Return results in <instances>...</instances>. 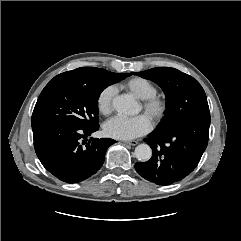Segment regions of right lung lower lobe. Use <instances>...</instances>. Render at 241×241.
I'll list each match as a JSON object with an SVG mask.
<instances>
[{
	"mask_svg": "<svg viewBox=\"0 0 241 241\" xmlns=\"http://www.w3.org/2000/svg\"><path fill=\"white\" fill-rule=\"evenodd\" d=\"M66 123H48L32 127L36 154L44 168L66 183L83 181L103 165L110 138H90L97 131ZM82 142V143H81Z\"/></svg>",
	"mask_w": 241,
	"mask_h": 241,
	"instance_id": "1",
	"label": "right lung lower lobe"
}]
</instances>
